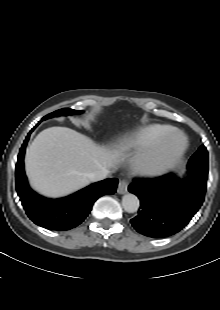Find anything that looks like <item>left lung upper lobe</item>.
<instances>
[{"label":"left lung upper lobe","instance_id":"1","mask_svg":"<svg viewBox=\"0 0 220 310\" xmlns=\"http://www.w3.org/2000/svg\"><path fill=\"white\" fill-rule=\"evenodd\" d=\"M188 170L208 172V152L204 145L200 146L198 151L190 158Z\"/></svg>","mask_w":220,"mask_h":310}]
</instances>
